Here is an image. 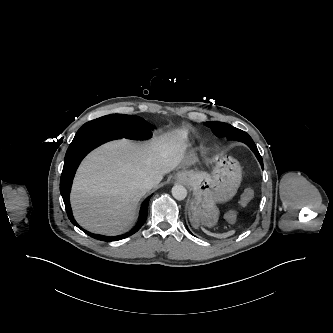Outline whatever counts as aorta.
<instances>
[{"label": "aorta", "mask_w": 333, "mask_h": 333, "mask_svg": "<svg viewBox=\"0 0 333 333\" xmlns=\"http://www.w3.org/2000/svg\"><path fill=\"white\" fill-rule=\"evenodd\" d=\"M171 192L173 197L177 200H183L187 196V190L182 185H174Z\"/></svg>", "instance_id": "aorta-1"}]
</instances>
